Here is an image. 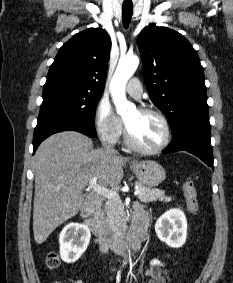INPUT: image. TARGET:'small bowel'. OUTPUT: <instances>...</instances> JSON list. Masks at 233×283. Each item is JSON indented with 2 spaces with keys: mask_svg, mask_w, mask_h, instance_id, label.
<instances>
[{
  "mask_svg": "<svg viewBox=\"0 0 233 283\" xmlns=\"http://www.w3.org/2000/svg\"><path fill=\"white\" fill-rule=\"evenodd\" d=\"M144 221L148 225L149 222V216L148 213L141 209L136 208L133 218V223L137 221ZM164 266V262L160 259H153L151 261V266L147 270V274L152 278V280L149 283H166V279L162 273V267Z\"/></svg>",
  "mask_w": 233,
  "mask_h": 283,
  "instance_id": "1",
  "label": "small bowel"
}]
</instances>
